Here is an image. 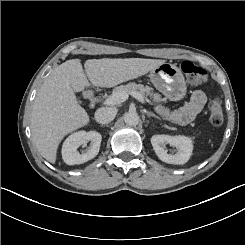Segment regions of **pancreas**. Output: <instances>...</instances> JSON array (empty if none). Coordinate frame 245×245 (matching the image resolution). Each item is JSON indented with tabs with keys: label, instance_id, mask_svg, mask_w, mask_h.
I'll use <instances>...</instances> for the list:
<instances>
[{
	"label": "pancreas",
	"instance_id": "cf45deb5",
	"mask_svg": "<svg viewBox=\"0 0 245 245\" xmlns=\"http://www.w3.org/2000/svg\"><path fill=\"white\" fill-rule=\"evenodd\" d=\"M132 91H136L140 93L142 96L147 97L149 95H152V88L149 86H144L142 84H136L134 82H130L126 85H120L113 89V93L117 92H125V93H131Z\"/></svg>",
	"mask_w": 245,
	"mask_h": 245
}]
</instances>
